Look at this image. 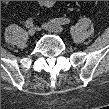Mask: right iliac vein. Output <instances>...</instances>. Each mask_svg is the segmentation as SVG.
Instances as JSON below:
<instances>
[{"mask_svg": "<svg viewBox=\"0 0 109 109\" xmlns=\"http://www.w3.org/2000/svg\"><path fill=\"white\" fill-rule=\"evenodd\" d=\"M35 33H36V29H35V28H30V29L28 30V34H29L30 36H33Z\"/></svg>", "mask_w": 109, "mask_h": 109, "instance_id": "63e3f726", "label": "right iliac vein"}]
</instances>
